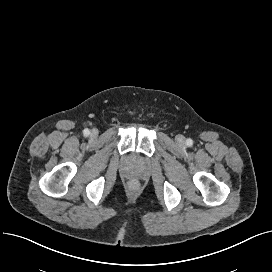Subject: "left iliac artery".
Masks as SVG:
<instances>
[{
	"mask_svg": "<svg viewBox=\"0 0 272 272\" xmlns=\"http://www.w3.org/2000/svg\"><path fill=\"white\" fill-rule=\"evenodd\" d=\"M186 144L187 146L191 147L193 145L192 139H187Z\"/></svg>",
	"mask_w": 272,
	"mask_h": 272,
	"instance_id": "obj_1",
	"label": "left iliac artery"
}]
</instances>
